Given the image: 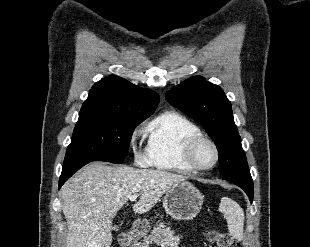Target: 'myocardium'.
<instances>
[{"label": "myocardium", "instance_id": "f54148a6", "mask_svg": "<svg viewBox=\"0 0 310 247\" xmlns=\"http://www.w3.org/2000/svg\"><path fill=\"white\" fill-rule=\"evenodd\" d=\"M203 142L208 143L213 148L214 154H215V158H214L213 163L208 165V166H200L194 160V152H195L196 148ZM219 157H220V153H219V149H218L216 143L212 139H210L207 136H204L202 134L195 135V136L189 138L186 141L184 149H183L184 161L193 171H197V172L208 171V170L214 168L219 161Z\"/></svg>", "mask_w": 310, "mask_h": 247}]
</instances>
